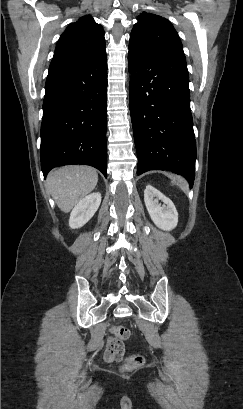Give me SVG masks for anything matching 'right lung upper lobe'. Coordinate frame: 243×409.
I'll return each instance as SVG.
<instances>
[{"mask_svg": "<svg viewBox=\"0 0 243 409\" xmlns=\"http://www.w3.org/2000/svg\"><path fill=\"white\" fill-rule=\"evenodd\" d=\"M105 50L104 30L91 16L71 23L57 42L49 71L90 60Z\"/></svg>", "mask_w": 243, "mask_h": 409, "instance_id": "right-lung-upper-lobe-1", "label": "right lung upper lobe"}]
</instances>
